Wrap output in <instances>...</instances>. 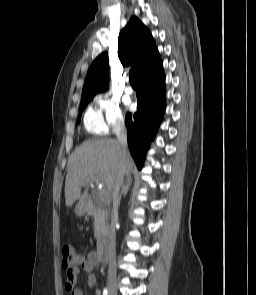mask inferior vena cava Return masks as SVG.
Instances as JSON below:
<instances>
[{"label":"inferior vena cava","mask_w":256,"mask_h":295,"mask_svg":"<svg viewBox=\"0 0 256 295\" xmlns=\"http://www.w3.org/2000/svg\"><path fill=\"white\" fill-rule=\"evenodd\" d=\"M115 133L120 143L121 155L125 158L127 154V130L124 121L121 120L115 127ZM127 174V164H120V171H118V179L116 180L112 188V202L113 207L111 211V226L109 235V272L115 273V255H116V233H115V223L118 217V206L120 198V186L122 183V177Z\"/></svg>","instance_id":"inferior-vena-cava-1"}]
</instances>
